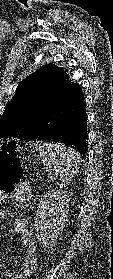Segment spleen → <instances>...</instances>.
<instances>
[{
    "label": "spleen",
    "instance_id": "spleen-1",
    "mask_svg": "<svg viewBox=\"0 0 113 279\" xmlns=\"http://www.w3.org/2000/svg\"><path fill=\"white\" fill-rule=\"evenodd\" d=\"M47 172L59 177L60 189L66 188L78 173L81 160L79 153L62 144L39 142L34 143Z\"/></svg>",
    "mask_w": 113,
    "mask_h": 279
}]
</instances>
